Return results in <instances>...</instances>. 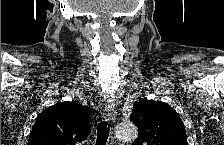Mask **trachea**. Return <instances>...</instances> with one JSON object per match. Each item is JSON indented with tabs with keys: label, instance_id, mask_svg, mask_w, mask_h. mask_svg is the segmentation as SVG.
I'll list each match as a JSON object with an SVG mask.
<instances>
[{
	"label": "trachea",
	"instance_id": "trachea-1",
	"mask_svg": "<svg viewBox=\"0 0 224 145\" xmlns=\"http://www.w3.org/2000/svg\"><path fill=\"white\" fill-rule=\"evenodd\" d=\"M108 137L109 127L107 126V122L100 121L97 127L96 145H106Z\"/></svg>",
	"mask_w": 224,
	"mask_h": 145
}]
</instances>
